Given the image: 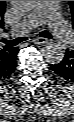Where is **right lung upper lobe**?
Wrapping results in <instances>:
<instances>
[{
  "mask_svg": "<svg viewBox=\"0 0 74 122\" xmlns=\"http://www.w3.org/2000/svg\"><path fill=\"white\" fill-rule=\"evenodd\" d=\"M4 11L5 1H0V32L4 28ZM18 51V48L1 46L0 44V72L7 70L11 66Z\"/></svg>",
  "mask_w": 74,
  "mask_h": 122,
  "instance_id": "cb5924a9",
  "label": "right lung upper lobe"
}]
</instances>
